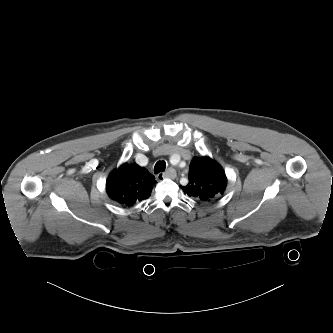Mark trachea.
Segmentation results:
<instances>
[{
	"label": "trachea",
	"instance_id": "1",
	"mask_svg": "<svg viewBox=\"0 0 333 333\" xmlns=\"http://www.w3.org/2000/svg\"><path fill=\"white\" fill-rule=\"evenodd\" d=\"M166 162L165 161H158L154 166V173L158 174L160 172L165 171Z\"/></svg>",
	"mask_w": 333,
	"mask_h": 333
}]
</instances>
